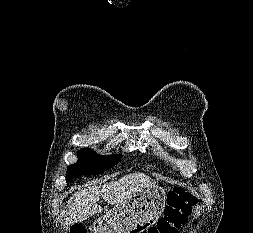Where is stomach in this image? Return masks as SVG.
<instances>
[{
  "mask_svg": "<svg viewBox=\"0 0 253 233\" xmlns=\"http://www.w3.org/2000/svg\"><path fill=\"white\" fill-rule=\"evenodd\" d=\"M166 202V191L153 185L142 188L118 203L94 228L96 233H141L161 216Z\"/></svg>",
  "mask_w": 253,
  "mask_h": 233,
  "instance_id": "obj_1",
  "label": "stomach"
}]
</instances>
